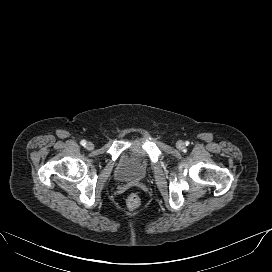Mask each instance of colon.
<instances>
[{
    "instance_id": "colon-1",
    "label": "colon",
    "mask_w": 272,
    "mask_h": 272,
    "mask_svg": "<svg viewBox=\"0 0 272 272\" xmlns=\"http://www.w3.org/2000/svg\"><path fill=\"white\" fill-rule=\"evenodd\" d=\"M126 205L131 210L137 209L141 205V199L137 194L132 193L127 197Z\"/></svg>"
}]
</instances>
